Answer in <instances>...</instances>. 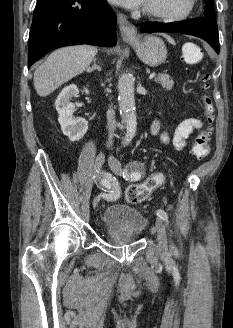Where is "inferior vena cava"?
<instances>
[{
  "instance_id": "602c4592",
  "label": "inferior vena cava",
  "mask_w": 233,
  "mask_h": 328,
  "mask_svg": "<svg viewBox=\"0 0 233 328\" xmlns=\"http://www.w3.org/2000/svg\"><path fill=\"white\" fill-rule=\"evenodd\" d=\"M107 128L109 131V138L107 142V146L110 147L113 143V136H114V131L116 129L117 123L115 120V113L113 109H109L107 111Z\"/></svg>"
}]
</instances>
